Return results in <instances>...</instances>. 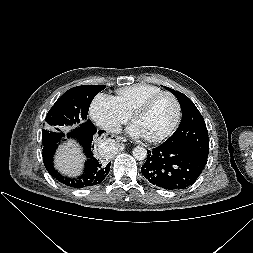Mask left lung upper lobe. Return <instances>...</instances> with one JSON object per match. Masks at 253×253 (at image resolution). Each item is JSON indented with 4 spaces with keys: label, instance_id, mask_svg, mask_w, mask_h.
Segmentation results:
<instances>
[{
    "label": "left lung upper lobe",
    "instance_id": "5c2ea615",
    "mask_svg": "<svg viewBox=\"0 0 253 253\" xmlns=\"http://www.w3.org/2000/svg\"><path fill=\"white\" fill-rule=\"evenodd\" d=\"M172 92L181 105L182 120L178 129L163 144L175 147L189 148L203 157H208V130L195 104L183 93L165 87Z\"/></svg>",
    "mask_w": 253,
    "mask_h": 253
}]
</instances>
